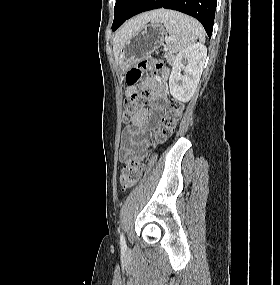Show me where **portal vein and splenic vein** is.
Listing matches in <instances>:
<instances>
[{
    "label": "portal vein and splenic vein",
    "mask_w": 280,
    "mask_h": 285,
    "mask_svg": "<svg viewBox=\"0 0 280 285\" xmlns=\"http://www.w3.org/2000/svg\"><path fill=\"white\" fill-rule=\"evenodd\" d=\"M170 39H171V38L168 37V38H166V41H170Z\"/></svg>",
    "instance_id": "obj_1"
}]
</instances>
